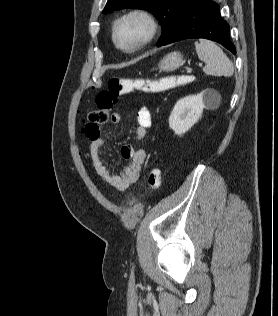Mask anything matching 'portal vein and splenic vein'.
Instances as JSON below:
<instances>
[{
    "instance_id": "1",
    "label": "portal vein and splenic vein",
    "mask_w": 278,
    "mask_h": 316,
    "mask_svg": "<svg viewBox=\"0 0 278 316\" xmlns=\"http://www.w3.org/2000/svg\"><path fill=\"white\" fill-rule=\"evenodd\" d=\"M203 64L202 63H199V66H202Z\"/></svg>"
}]
</instances>
